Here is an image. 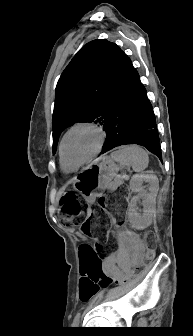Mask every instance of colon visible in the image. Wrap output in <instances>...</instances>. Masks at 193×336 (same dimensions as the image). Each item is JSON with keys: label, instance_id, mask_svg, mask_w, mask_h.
<instances>
[{"label": "colon", "instance_id": "5ec220e1", "mask_svg": "<svg viewBox=\"0 0 193 336\" xmlns=\"http://www.w3.org/2000/svg\"><path fill=\"white\" fill-rule=\"evenodd\" d=\"M60 207L65 217L67 226L78 225L83 235L94 237L91 246L81 250L80 258L82 271L87 273L86 281L92 284L94 289L106 288L113 282L126 284L136 277L131 276L114 280L104 271L102 261L106 253L116 246V238L108 232V227L114 216H121L125 207L116 200L109 201L106 197L98 198L97 203L88 207L73 192L65 193L60 201ZM82 217H85L83 220ZM147 258H152L156 251V239L154 234L147 233L144 237ZM85 295L86 293L83 292Z\"/></svg>", "mask_w": 193, "mask_h": 336}]
</instances>
